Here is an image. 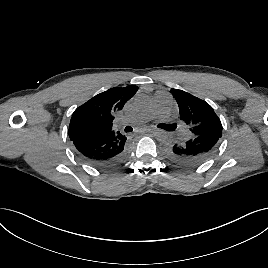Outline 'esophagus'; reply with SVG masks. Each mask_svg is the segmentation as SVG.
<instances>
[{"mask_svg": "<svg viewBox=\"0 0 268 268\" xmlns=\"http://www.w3.org/2000/svg\"><path fill=\"white\" fill-rule=\"evenodd\" d=\"M155 129L154 128H151L150 131H154Z\"/></svg>", "mask_w": 268, "mask_h": 268, "instance_id": "esophagus-1", "label": "esophagus"}]
</instances>
